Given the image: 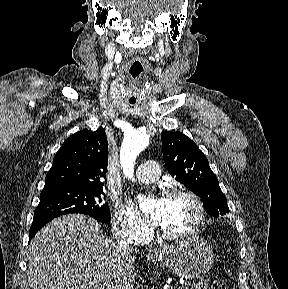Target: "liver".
Here are the masks:
<instances>
[{
    "instance_id": "liver-1",
    "label": "liver",
    "mask_w": 288,
    "mask_h": 289,
    "mask_svg": "<svg viewBox=\"0 0 288 289\" xmlns=\"http://www.w3.org/2000/svg\"><path fill=\"white\" fill-rule=\"evenodd\" d=\"M172 247L148 250L147 260L159 262ZM30 289H133L134 259L117 250L89 216L55 218L31 240L27 254Z\"/></svg>"
}]
</instances>
